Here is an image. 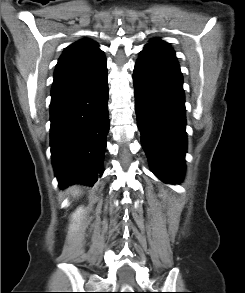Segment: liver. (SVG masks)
I'll list each match as a JSON object with an SVG mask.
<instances>
[{
    "label": "liver",
    "instance_id": "6515ba94",
    "mask_svg": "<svg viewBox=\"0 0 245 293\" xmlns=\"http://www.w3.org/2000/svg\"><path fill=\"white\" fill-rule=\"evenodd\" d=\"M71 193L75 196V195H78L79 194V189H77V188H72L71 189Z\"/></svg>",
    "mask_w": 245,
    "mask_h": 293
}]
</instances>
